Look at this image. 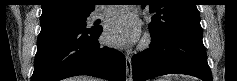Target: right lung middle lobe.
Segmentation results:
<instances>
[{"label": "right lung middle lobe", "mask_w": 237, "mask_h": 81, "mask_svg": "<svg viewBox=\"0 0 237 81\" xmlns=\"http://www.w3.org/2000/svg\"><path fill=\"white\" fill-rule=\"evenodd\" d=\"M88 16L89 15L80 16V17H66V18L50 19V20L40 21V24L41 26L47 25V24H72V25L86 28V20Z\"/></svg>", "instance_id": "dd1d6c3e"}]
</instances>
